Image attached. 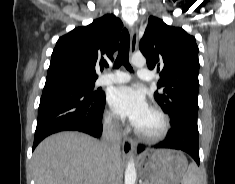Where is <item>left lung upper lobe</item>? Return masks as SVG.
Here are the masks:
<instances>
[{"label":"left lung upper lobe","instance_id":"left-lung-upper-lobe-1","mask_svg":"<svg viewBox=\"0 0 235 184\" xmlns=\"http://www.w3.org/2000/svg\"><path fill=\"white\" fill-rule=\"evenodd\" d=\"M139 48L148 68L160 75V93L154 94L160 107L171 120L185 115L197 121L200 65L195 38L151 16Z\"/></svg>","mask_w":235,"mask_h":184}]
</instances>
